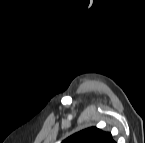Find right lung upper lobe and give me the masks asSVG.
<instances>
[{
    "label": "right lung upper lobe",
    "mask_w": 145,
    "mask_h": 143,
    "mask_svg": "<svg viewBox=\"0 0 145 143\" xmlns=\"http://www.w3.org/2000/svg\"><path fill=\"white\" fill-rule=\"evenodd\" d=\"M63 143H114V141L110 133L91 127L73 134Z\"/></svg>",
    "instance_id": "cb5924a9"
}]
</instances>
